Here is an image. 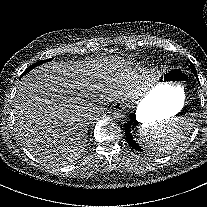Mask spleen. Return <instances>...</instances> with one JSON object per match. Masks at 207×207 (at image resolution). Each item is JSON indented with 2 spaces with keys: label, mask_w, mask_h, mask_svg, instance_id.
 Masks as SVG:
<instances>
[{
  "label": "spleen",
  "mask_w": 207,
  "mask_h": 207,
  "mask_svg": "<svg viewBox=\"0 0 207 207\" xmlns=\"http://www.w3.org/2000/svg\"><path fill=\"white\" fill-rule=\"evenodd\" d=\"M197 119V112L188 109L180 117L172 116L162 123L138 126L134 129L133 136L150 149H172L181 145L191 135Z\"/></svg>",
  "instance_id": "obj_1"
}]
</instances>
